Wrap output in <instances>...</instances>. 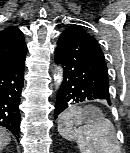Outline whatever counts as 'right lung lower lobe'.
<instances>
[{"label": "right lung lower lobe", "instance_id": "right-lung-lower-lobe-1", "mask_svg": "<svg viewBox=\"0 0 130 153\" xmlns=\"http://www.w3.org/2000/svg\"><path fill=\"white\" fill-rule=\"evenodd\" d=\"M25 58L0 66V126L9 129L17 138L20 126V97L24 85Z\"/></svg>", "mask_w": 130, "mask_h": 153}]
</instances>
